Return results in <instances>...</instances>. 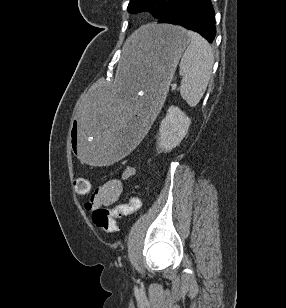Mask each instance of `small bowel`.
Segmentation results:
<instances>
[{
    "label": "small bowel",
    "mask_w": 286,
    "mask_h": 308,
    "mask_svg": "<svg viewBox=\"0 0 286 308\" xmlns=\"http://www.w3.org/2000/svg\"><path fill=\"white\" fill-rule=\"evenodd\" d=\"M135 174L133 167H127L120 178H113L99 185L85 203V209L91 211L101 206L110 207L120 198L123 191V182Z\"/></svg>",
    "instance_id": "obj_1"
}]
</instances>
